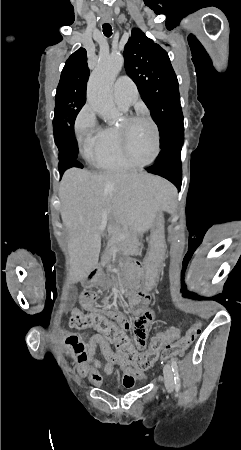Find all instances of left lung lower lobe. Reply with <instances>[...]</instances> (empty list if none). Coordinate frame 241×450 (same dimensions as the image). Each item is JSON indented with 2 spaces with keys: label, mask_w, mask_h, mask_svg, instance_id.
I'll use <instances>...</instances> for the list:
<instances>
[{
  "label": "left lung lower lobe",
  "mask_w": 241,
  "mask_h": 450,
  "mask_svg": "<svg viewBox=\"0 0 241 450\" xmlns=\"http://www.w3.org/2000/svg\"><path fill=\"white\" fill-rule=\"evenodd\" d=\"M183 134L172 137L164 147L153 166L147 167L150 173L160 175L171 181L179 190L182 183L181 146Z\"/></svg>",
  "instance_id": "1"
}]
</instances>
